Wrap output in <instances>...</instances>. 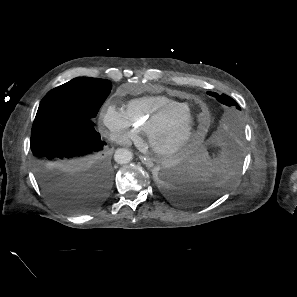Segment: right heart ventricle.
I'll use <instances>...</instances> for the list:
<instances>
[{"instance_id":"right-heart-ventricle-1","label":"right heart ventricle","mask_w":297,"mask_h":297,"mask_svg":"<svg viewBox=\"0 0 297 297\" xmlns=\"http://www.w3.org/2000/svg\"><path fill=\"white\" fill-rule=\"evenodd\" d=\"M187 107L186 102L166 96H144L132 100L126 112L140 131L147 132L161 118L176 114Z\"/></svg>"}]
</instances>
